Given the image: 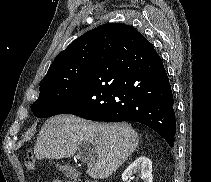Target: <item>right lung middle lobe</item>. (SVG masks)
Returning <instances> with one entry per match:
<instances>
[{
    "label": "right lung middle lobe",
    "instance_id": "1",
    "mask_svg": "<svg viewBox=\"0 0 211 182\" xmlns=\"http://www.w3.org/2000/svg\"><path fill=\"white\" fill-rule=\"evenodd\" d=\"M91 63L61 70L53 76L43 78L38 100L31 105L34 115L38 118L56 115L82 89Z\"/></svg>",
    "mask_w": 211,
    "mask_h": 182
}]
</instances>
